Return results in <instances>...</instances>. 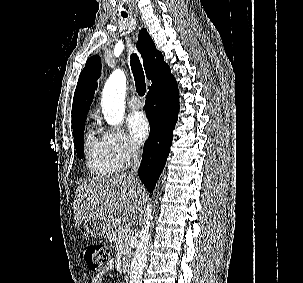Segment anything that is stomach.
I'll return each instance as SVG.
<instances>
[{
  "mask_svg": "<svg viewBox=\"0 0 303 283\" xmlns=\"http://www.w3.org/2000/svg\"><path fill=\"white\" fill-rule=\"evenodd\" d=\"M113 220L102 218V219H86L84 220V228L86 235L94 238H100L107 235L112 228Z\"/></svg>",
  "mask_w": 303,
  "mask_h": 283,
  "instance_id": "obj_1",
  "label": "stomach"
}]
</instances>
